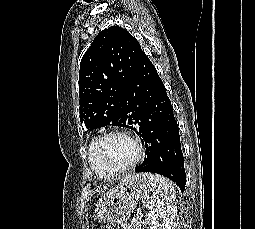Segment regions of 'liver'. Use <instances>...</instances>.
Listing matches in <instances>:
<instances>
[{"mask_svg":"<svg viewBox=\"0 0 255 229\" xmlns=\"http://www.w3.org/2000/svg\"><path fill=\"white\" fill-rule=\"evenodd\" d=\"M116 190H117V187H114V188L110 189L107 193H105L104 195L101 196V198L99 199V201H98V203L96 205V211H98L100 209V207L102 206L104 201L108 197L112 196L115 193Z\"/></svg>","mask_w":255,"mask_h":229,"instance_id":"1","label":"liver"}]
</instances>
